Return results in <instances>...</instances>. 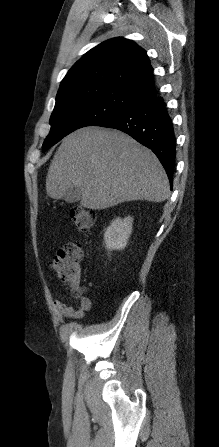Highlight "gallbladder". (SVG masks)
<instances>
[{
    "instance_id": "1",
    "label": "gallbladder",
    "mask_w": 219,
    "mask_h": 447,
    "mask_svg": "<svg viewBox=\"0 0 219 447\" xmlns=\"http://www.w3.org/2000/svg\"><path fill=\"white\" fill-rule=\"evenodd\" d=\"M80 198V190L76 187H70L64 195L63 200H65L67 203H75L78 202Z\"/></svg>"
}]
</instances>
